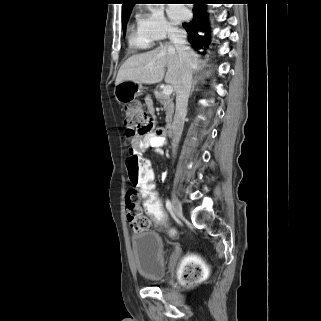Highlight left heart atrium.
I'll return each instance as SVG.
<instances>
[{"mask_svg": "<svg viewBox=\"0 0 321 321\" xmlns=\"http://www.w3.org/2000/svg\"><path fill=\"white\" fill-rule=\"evenodd\" d=\"M168 15L174 23H179L186 18L187 11L180 5H171L168 8Z\"/></svg>", "mask_w": 321, "mask_h": 321, "instance_id": "left-heart-atrium-1", "label": "left heart atrium"}]
</instances>
